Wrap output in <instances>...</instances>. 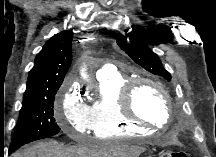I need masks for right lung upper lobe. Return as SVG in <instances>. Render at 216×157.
<instances>
[{
	"label": "right lung upper lobe",
	"instance_id": "1",
	"mask_svg": "<svg viewBox=\"0 0 216 157\" xmlns=\"http://www.w3.org/2000/svg\"><path fill=\"white\" fill-rule=\"evenodd\" d=\"M73 32L54 35L43 46L29 72L24 99L59 89L71 65Z\"/></svg>",
	"mask_w": 216,
	"mask_h": 157
}]
</instances>
